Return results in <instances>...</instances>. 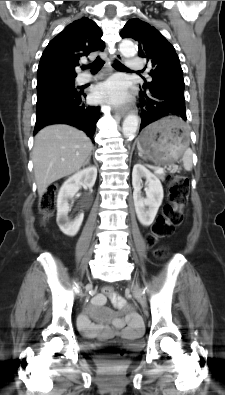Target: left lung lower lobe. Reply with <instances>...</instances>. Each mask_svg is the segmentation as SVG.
Wrapping results in <instances>:
<instances>
[{"mask_svg":"<svg viewBox=\"0 0 225 395\" xmlns=\"http://www.w3.org/2000/svg\"><path fill=\"white\" fill-rule=\"evenodd\" d=\"M139 106L142 108L140 130L168 115L176 116L182 122L186 120L184 91L180 89L144 91Z\"/></svg>","mask_w":225,"mask_h":395,"instance_id":"0a47b994","label":"left lung lower lobe"}]
</instances>
